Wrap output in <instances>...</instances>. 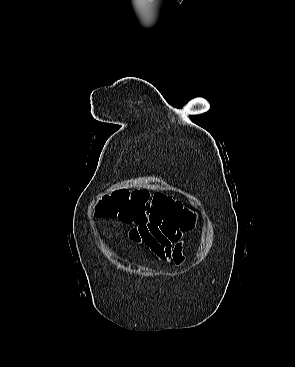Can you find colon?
<instances>
[{"label":"colon","instance_id":"1","mask_svg":"<svg viewBox=\"0 0 295 367\" xmlns=\"http://www.w3.org/2000/svg\"><path fill=\"white\" fill-rule=\"evenodd\" d=\"M105 217H119L127 223L170 221L184 230L195 224L194 215L182 205L164 194L149 197L147 191L119 189L101 208Z\"/></svg>","mask_w":295,"mask_h":367}]
</instances>
